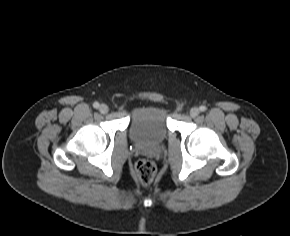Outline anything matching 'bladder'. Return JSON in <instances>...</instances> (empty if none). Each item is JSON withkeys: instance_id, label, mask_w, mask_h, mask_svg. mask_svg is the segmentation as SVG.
I'll return each mask as SVG.
<instances>
[{"instance_id": "1", "label": "bladder", "mask_w": 290, "mask_h": 236, "mask_svg": "<svg viewBox=\"0 0 290 236\" xmlns=\"http://www.w3.org/2000/svg\"><path fill=\"white\" fill-rule=\"evenodd\" d=\"M168 111L162 106L137 108L130 119V136L141 144H159L167 137Z\"/></svg>"}]
</instances>
